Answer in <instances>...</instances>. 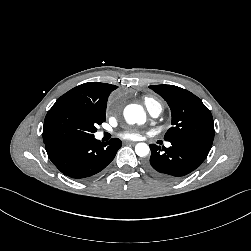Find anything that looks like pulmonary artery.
I'll list each match as a JSON object with an SVG mask.
<instances>
[{
  "instance_id": "1",
  "label": "pulmonary artery",
  "mask_w": 251,
  "mask_h": 251,
  "mask_svg": "<svg viewBox=\"0 0 251 251\" xmlns=\"http://www.w3.org/2000/svg\"><path fill=\"white\" fill-rule=\"evenodd\" d=\"M146 108H147V111L149 112V114H150L152 117H154V118H155V117H158V116L160 115L161 111H162V108H161L160 104H157V103L147 104V105H146ZM102 135H103V133L100 132V133H99V136H102ZM166 146L169 147L170 144L167 143Z\"/></svg>"
}]
</instances>
